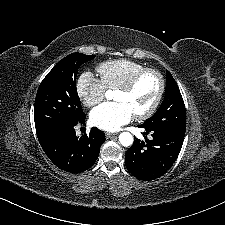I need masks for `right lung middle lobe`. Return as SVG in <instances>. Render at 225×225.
<instances>
[{
	"instance_id": "right-lung-middle-lobe-1",
	"label": "right lung middle lobe",
	"mask_w": 225,
	"mask_h": 225,
	"mask_svg": "<svg viewBox=\"0 0 225 225\" xmlns=\"http://www.w3.org/2000/svg\"><path fill=\"white\" fill-rule=\"evenodd\" d=\"M94 57L72 53L63 58L43 79L34 106L37 136L48 130L70 125L83 115L76 76L79 66Z\"/></svg>"
}]
</instances>
